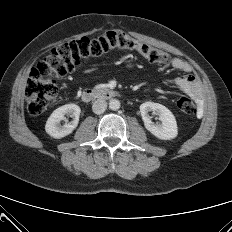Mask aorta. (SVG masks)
Instances as JSON below:
<instances>
[{"label": "aorta", "instance_id": "762f6f07", "mask_svg": "<svg viewBox=\"0 0 232 232\" xmlns=\"http://www.w3.org/2000/svg\"><path fill=\"white\" fill-rule=\"evenodd\" d=\"M109 108L113 111H116L120 108V101L117 99H111L109 101Z\"/></svg>", "mask_w": 232, "mask_h": 232}]
</instances>
